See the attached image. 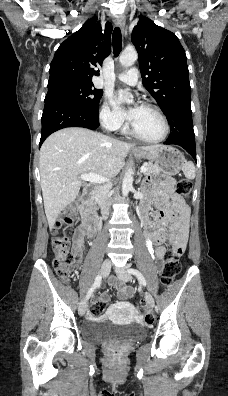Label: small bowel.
<instances>
[{"label": "small bowel", "mask_w": 228, "mask_h": 396, "mask_svg": "<svg viewBox=\"0 0 228 396\" xmlns=\"http://www.w3.org/2000/svg\"><path fill=\"white\" fill-rule=\"evenodd\" d=\"M168 184L167 178L163 177H158L157 179L150 181L152 189L158 192V202L160 204V207L157 210H154L153 214L159 220L160 230L168 228L175 248L184 250L188 239L189 213L187 207L177 195H171V201L169 200L167 192ZM143 212L144 215H146L147 209L144 208ZM160 230L152 228L148 233L149 238L156 244L155 259L157 261H160L165 253V247L163 245L164 239L160 234ZM85 236H87L85 230L79 229L77 231V238L74 247L76 254H80L83 251ZM110 283L118 288L119 297L122 300L133 294V291L129 287L114 277L110 279ZM99 300L102 304H106L109 302V295L107 293H103ZM87 316L88 318H91L89 313Z\"/></svg>", "instance_id": "1"}]
</instances>
